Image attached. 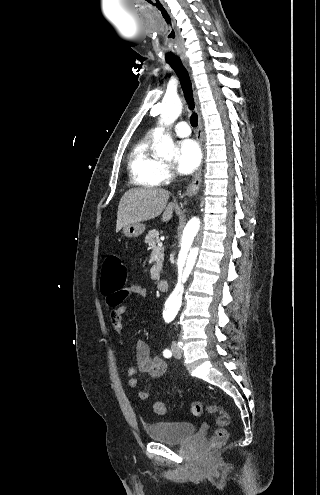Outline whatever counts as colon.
<instances>
[{
    "label": "colon",
    "mask_w": 320,
    "mask_h": 495,
    "mask_svg": "<svg viewBox=\"0 0 320 495\" xmlns=\"http://www.w3.org/2000/svg\"><path fill=\"white\" fill-rule=\"evenodd\" d=\"M127 270L121 259L116 255H111L103 263L101 271V288L105 294L121 291L125 285ZM122 295L119 300H123ZM148 398V392L144 391L143 399ZM154 412L163 415L166 413V405L157 401L153 404ZM189 412L193 416H200L204 412L216 415V430L209 443V450L213 451L223 445L227 440V426L229 415L218 405L207 404L202 401H194L189 405Z\"/></svg>",
    "instance_id": "1"
}]
</instances>
